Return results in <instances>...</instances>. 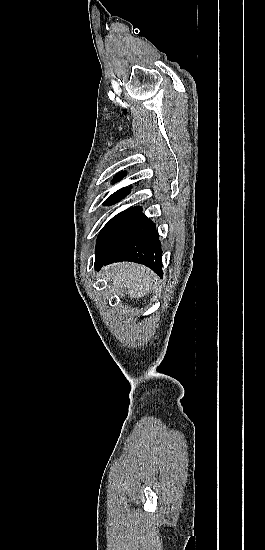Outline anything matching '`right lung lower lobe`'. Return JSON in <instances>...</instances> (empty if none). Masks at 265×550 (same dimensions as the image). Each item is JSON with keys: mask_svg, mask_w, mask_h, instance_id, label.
Wrapping results in <instances>:
<instances>
[{"mask_svg": "<svg viewBox=\"0 0 265 550\" xmlns=\"http://www.w3.org/2000/svg\"><path fill=\"white\" fill-rule=\"evenodd\" d=\"M162 251L154 223L146 216L109 252L95 255V269L121 261H133L150 267L163 276Z\"/></svg>", "mask_w": 265, "mask_h": 550, "instance_id": "right-lung-lower-lobe-1", "label": "right lung lower lobe"}]
</instances>
